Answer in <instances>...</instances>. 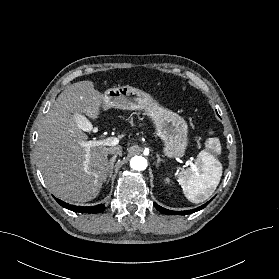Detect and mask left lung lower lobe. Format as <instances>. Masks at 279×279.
<instances>
[{
  "instance_id": "left-lung-lower-lobe-1",
  "label": "left lung lower lobe",
  "mask_w": 279,
  "mask_h": 279,
  "mask_svg": "<svg viewBox=\"0 0 279 279\" xmlns=\"http://www.w3.org/2000/svg\"><path fill=\"white\" fill-rule=\"evenodd\" d=\"M210 201H211V200H210ZM210 201H209V202H210ZM209 202L205 203L204 205H202V206H200V207H198V208H196V209L188 210V211H171V210L165 209V208H163V207L157 205L156 203H154V206L156 207V209H157L159 212H161V213H163V214H172V215H175V214L178 215V214H179V215H185V214L194 213V212H196V211H199V210L203 209L204 207L207 206V204H208Z\"/></svg>"
}]
</instances>
